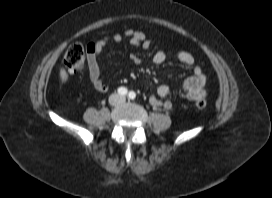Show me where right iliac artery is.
<instances>
[{
	"mask_svg": "<svg viewBox=\"0 0 272 198\" xmlns=\"http://www.w3.org/2000/svg\"><path fill=\"white\" fill-rule=\"evenodd\" d=\"M127 93H128V90L125 87L118 88V94L119 95L125 96V95H127Z\"/></svg>",
	"mask_w": 272,
	"mask_h": 198,
	"instance_id": "82829eb1",
	"label": "right iliac artery"
}]
</instances>
